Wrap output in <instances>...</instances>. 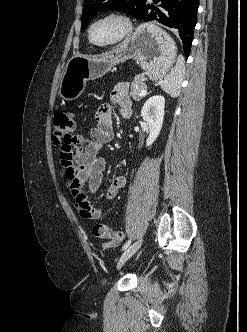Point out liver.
<instances>
[{
	"label": "liver",
	"instance_id": "obj_1",
	"mask_svg": "<svg viewBox=\"0 0 247 332\" xmlns=\"http://www.w3.org/2000/svg\"><path fill=\"white\" fill-rule=\"evenodd\" d=\"M86 58L93 59V58H98V57H86Z\"/></svg>",
	"mask_w": 247,
	"mask_h": 332
}]
</instances>
